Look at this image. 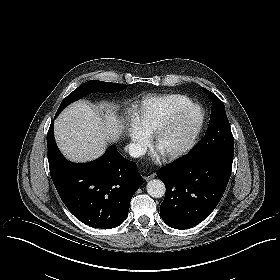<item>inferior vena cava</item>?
Masks as SVG:
<instances>
[{
    "label": "inferior vena cava",
    "instance_id": "inferior-vena-cava-1",
    "mask_svg": "<svg viewBox=\"0 0 280 280\" xmlns=\"http://www.w3.org/2000/svg\"><path fill=\"white\" fill-rule=\"evenodd\" d=\"M125 151L133 158H139L145 153L144 148L138 143H130L125 147Z\"/></svg>",
    "mask_w": 280,
    "mask_h": 280
}]
</instances>
